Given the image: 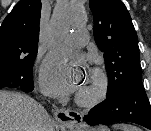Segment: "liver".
I'll return each instance as SVG.
<instances>
[{
  "mask_svg": "<svg viewBox=\"0 0 151 131\" xmlns=\"http://www.w3.org/2000/svg\"><path fill=\"white\" fill-rule=\"evenodd\" d=\"M53 129L46 110L33 98L21 93L0 91V131Z\"/></svg>",
  "mask_w": 151,
  "mask_h": 131,
  "instance_id": "6515ba94",
  "label": "liver"
}]
</instances>
